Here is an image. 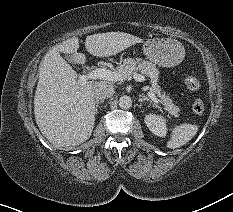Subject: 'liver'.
Listing matches in <instances>:
<instances>
[{"label": "liver", "instance_id": "obj_1", "mask_svg": "<svg viewBox=\"0 0 233 212\" xmlns=\"http://www.w3.org/2000/svg\"><path fill=\"white\" fill-rule=\"evenodd\" d=\"M143 40L124 32H106L87 36L86 50L93 56L108 57ZM79 39L69 38L51 48L39 66L34 96L36 123L45 138L57 147L80 145L91 136L95 123V99L92 87L107 80L81 84L78 74L60 53L69 54L77 64L86 57L78 53Z\"/></svg>", "mask_w": 233, "mask_h": 212}]
</instances>
